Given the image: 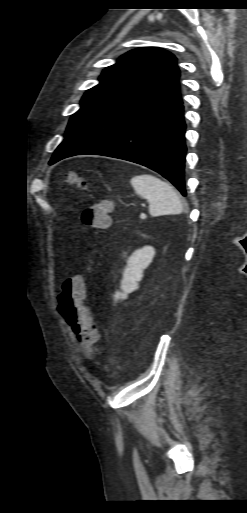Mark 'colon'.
Returning a JSON list of instances; mask_svg holds the SVG:
<instances>
[{
    "label": "colon",
    "mask_w": 247,
    "mask_h": 513,
    "mask_svg": "<svg viewBox=\"0 0 247 513\" xmlns=\"http://www.w3.org/2000/svg\"><path fill=\"white\" fill-rule=\"evenodd\" d=\"M73 184L85 188L80 178H74ZM113 206L108 202H97L85 209L82 213V222L85 227L100 232L110 226ZM86 282L81 275L67 278L59 292V311L65 321L70 325L78 340L86 346L84 356L88 360H97L101 356V349L95 345L99 331L94 324L93 314L85 305Z\"/></svg>",
    "instance_id": "colon-1"
}]
</instances>
